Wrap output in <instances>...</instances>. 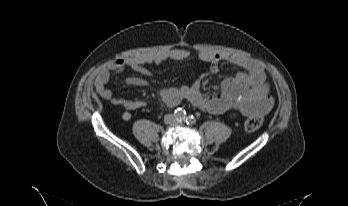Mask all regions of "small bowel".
Here are the masks:
<instances>
[{"label":"small bowel","instance_id":"c3829d8e","mask_svg":"<svg viewBox=\"0 0 348 206\" xmlns=\"http://www.w3.org/2000/svg\"><path fill=\"white\" fill-rule=\"evenodd\" d=\"M189 52L185 49H174L162 52L139 53L127 58H121L108 67L102 69L95 80L97 95L115 106L124 109L122 119L129 121L132 111L142 108L146 102L139 99H126L114 94L108 87L111 74H119L126 68H131L141 74L140 77H129L123 80L119 86L124 89L132 86L149 85L150 71L145 67L148 64H160L165 61H181L188 58ZM199 58L209 65V73L218 71L221 61L226 60L233 65L241 67L242 72L228 77L223 81L222 93L204 95L201 92V84L195 81L190 86L178 88H164L160 91L161 97L169 106H176L182 100H188L193 106L212 114L233 113L241 116L253 114L263 115L274 106V100L270 96V86L266 80L264 69L256 62L239 55H221L203 50Z\"/></svg>","mask_w":348,"mask_h":206}]
</instances>
